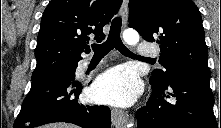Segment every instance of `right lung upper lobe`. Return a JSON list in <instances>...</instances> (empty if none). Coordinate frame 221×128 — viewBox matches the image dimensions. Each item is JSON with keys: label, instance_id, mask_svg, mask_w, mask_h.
<instances>
[{"label": "right lung upper lobe", "instance_id": "right-lung-upper-lobe-1", "mask_svg": "<svg viewBox=\"0 0 221 128\" xmlns=\"http://www.w3.org/2000/svg\"><path fill=\"white\" fill-rule=\"evenodd\" d=\"M121 3L122 0H51L42 16L32 76L44 77L77 65L81 53L90 51L89 35L103 39V26Z\"/></svg>", "mask_w": 221, "mask_h": 128}]
</instances>
